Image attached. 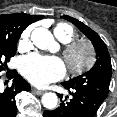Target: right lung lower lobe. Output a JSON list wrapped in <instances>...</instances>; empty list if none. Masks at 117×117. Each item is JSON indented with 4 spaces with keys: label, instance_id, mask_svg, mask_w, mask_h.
Listing matches in <instances>:
<instances>
[{
    "label": "right lung lower lobe",
    "instance_id": "98d812e1",
    "mask_svg": "<svg viewBox=\"0 0 117 117\" xmlns=\"http://www.w3.org/2000/svg\"><path fill=\"white\" fill-rule=\"evenodd\" d=\"M14 77L11 87L0 92V117H15L17 113L15 96L21 91H29L30 84L25 81L15 70L9 71L7 76Z\"/></svg>",
    "mask_w": 117,
    "mask_h": 117
}]
</instances>
